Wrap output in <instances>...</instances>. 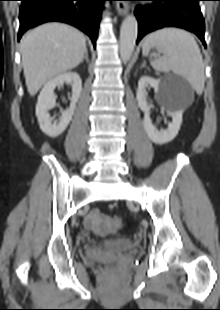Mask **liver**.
I'll list each match as a JSON object with an SVG mask.
<instances>
[{
    "mask_svg": "<svg viewBox=\"0 0 220 310\" xmlns=\"http://www.w3.org/2000/svg\"><path fill=\"white\" fill-rule=\"evenodd\" d=\"M20 51L26 86L34 96L47 81L80 64L86 39L69 25L47 23L23 36Z\"/></svg>",
    "mask_w": 220,
    "mask_h": 310,
    "instance_id": "6515ba94",
    "label": "liver"
}]
</instances>
